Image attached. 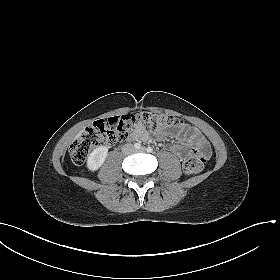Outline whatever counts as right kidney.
Instances as JSON below:
<instances>
[{
  "label": "right kidney",
  "mask_w": 280,
  "mask_h": 280,
  "mask_svg": "<svg viewBox=\"0 0 280 280\" xmlns=\"http://www.w3.org/2000/svg\"><path fill=\"white\" fill-rule=\"evenodd\" d=\"M108 154V148L105 146H100L93 150L87 159L88 170L94 172L98 170L104 163Z\"/></svg>",
  "instance_id": "1"
}]
</instances>
